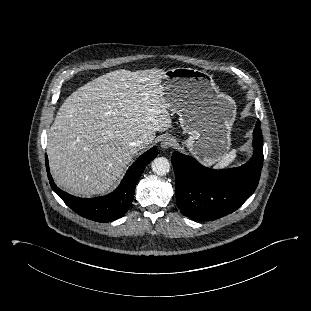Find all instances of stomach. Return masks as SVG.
<instances>
[{
  "label": "stomach",
  "mask_w": 311,
  "mask_h": 311,
  "mask_svg": "<svg viewBox=\"0 0 311 311\" xmlns=\"http://www.w3.org/2000/svg\"><path fill=\"white\" fill-rule=\"evenodd\" d=\"M161 87L166 107L179 115L180 126L189 134L188 151L206 165L220 161L231 145L234 100L219 92L211 75L192 68L167 70Z\"/></svg>",
  "instance_id": "0dacf381"
}]
</instances>
